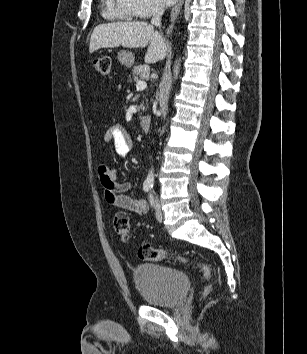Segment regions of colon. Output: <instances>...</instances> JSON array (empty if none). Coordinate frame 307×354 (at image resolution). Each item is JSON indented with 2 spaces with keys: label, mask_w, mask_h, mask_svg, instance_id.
I'll return each instance as SVG.
<instances>
[{
  "label": "colon",
  "mask_w": 307,
  "mask_h": 354,
  "mask_svg": "<svg viewBox=\"0 0 307 354\" xmlns=\"http://www.w3.org/2000/svg\"><path fill=\"white\" fill-rule=\"evenodd\" d=\"M94 67L96 71L102 75L106 76L111 70V58L107 55L100 56L94 60ZM113 228L117 235L123 239L127 240L130 235V223L128 215L124 212H117L113 219ZM138 256L142 260L146 261H161L169 257V255L163 250L156 249L149 244H142L138 249ZM177 261L182 263H190L199 269L203 278L207 282L204 288V295H208L212 289L210 280V269L204 263L198 261L189 260L183 256H175Z\"/></svg>",
  "instance_id": "obj_1"
}]
</instances>
